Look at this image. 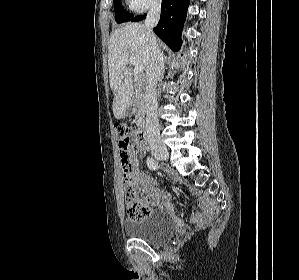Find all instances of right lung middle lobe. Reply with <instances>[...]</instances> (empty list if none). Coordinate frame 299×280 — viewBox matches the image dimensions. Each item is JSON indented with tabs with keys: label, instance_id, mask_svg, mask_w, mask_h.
Returning <instances> with one entry per match:
<instances>
[{
	"label": "right lung middle lobe",
	"instance_id": "obj_1",
	"mask_svg": "<svg viewBox=\"0 0 299 280\" xmlns=\"http://www.w3.org/2000/svg\"><path fill=\"white\" fill-rule=\"evenodd\" d=\"M115 20L117 23L130 21L134 15L126 12L121 4V0H114Z\"/></svg>",
	"mask_w": 299,
	"mask_h": 280
}]
</instances>
